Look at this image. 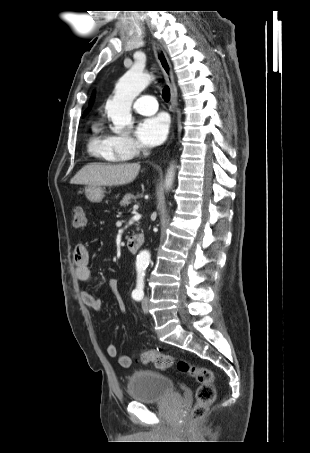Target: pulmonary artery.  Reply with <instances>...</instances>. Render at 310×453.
I'll return each mask as SVG.
<instances>
[{"label": "pulmonary artery", "mask_w": 310, "mask_h": 453, "mask_svg": "<svg viewBox=\"0 0 310 453\" xmlns=\"http://www.w3.org/2000/svg\"><path fill=\"white\" fill-rule=\"evenodd\" d=\"M136 112L143 115H150L157 111L158 103L151 95L139 96L133 103Z\"/></svg>", "instance_id": "obj_1"}]
</instances>
